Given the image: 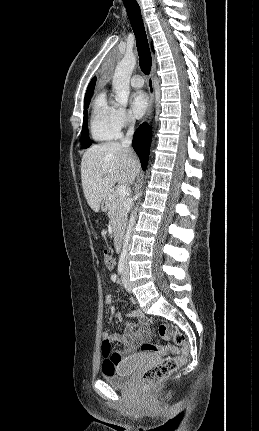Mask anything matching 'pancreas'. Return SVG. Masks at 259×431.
<instances>
[{
    "instance_id": "1",
    "label": "pancreas",
    "mask_w": 259,
    "mask_h": 431,
    "mask_svg": "<svg viewBox=\"0 0 259 431\" xmlns=\"http://www.w3.org/2000/svg\"><path fill=\"white\" fill-rule=\"evenodd\" d=\"M127 199L126 197H120L116 192L110 194L108 199V217L113 227L114 235L116 236L120 232H122L126 218H127V209H126Z\"/></svg>"
}]
</instances>
